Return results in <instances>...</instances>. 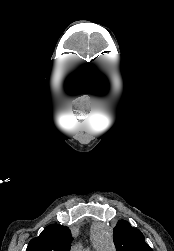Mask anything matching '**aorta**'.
<instances>
[{
	"label": "aorta",
	"mask_w": 174,
	"mask_h": 251,
	"mask_svg": "<svg viewBox=\"0 0 174 251\" xmlns=\"http://www.w3.org/2000/svg\"><path fill=\"white\" fill-rule=\"evenodd\" d=\"M106 246H107V248H109V246H110V239L108 236L106 237Z\"/></svg>",
	"instance_id": "1"
}]
</instances>
